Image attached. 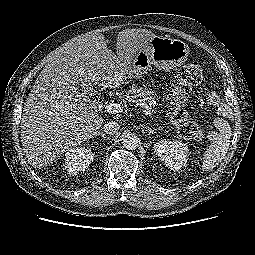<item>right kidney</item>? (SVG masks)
Masks as SVG:
<instances>
[{"instance_id": "right-kidney-1", "label": "right kidney", "mask_w": 255, "mask_h": 255, "mask_svg": "<svg viewBox=\"0 0 255 255\" xmlns=\"http://www.w3.org/2000/svg\"><path fill=\"white\" fill-rule=\"evenodd\" d=\"M94 153L87 147H73L65 153V170L75 175L85 171L93 161Z\"/></svg>"}]
</instances>
